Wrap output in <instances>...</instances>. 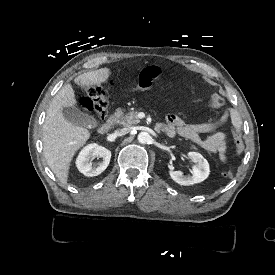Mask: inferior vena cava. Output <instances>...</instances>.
Returning a JSON list of instances; mask_svg holds the SVG:
<instances>
[{"instance_id": "inferior-vena-cava-1", "label": "inferior vena cava", "mask_w": 275, "mask_h": 275, "mask_svg": "<svg viewBox=\"0 0 275 275\" xmlns=\"http://www.w3.org/2000/svg\"><path fill=\"white\" fill-rule=\"evenodd\" d=\"M131 131V128H122L115 131L116 136H123L128 134Z\"/></svg>"}]
</instances>
